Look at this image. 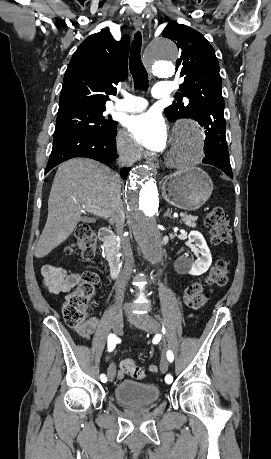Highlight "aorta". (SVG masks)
<instances>
[{"label":"aorta","instance_id":"762f6f07","mask_svg":"<svg viewBox=\"0 0 271 459\" xmlns=\"http://www.w3.org/2000/svg\"><path fill=\"white\" fill-rule=\"evenodd\" d=\"M177 53L172 41L160 38L149 46L147 63L155 75L169 77L174 72L172 60ZM202 158L203 139L198 129L191 123L181 124L175 130L172 148L168 152V166L183 171L200 163ZM126 186L127 217L131 231L144 257L153 264L159 263L163 258L161 232L157 224L159 197L149 167L136 166Z\"/></svg>","mask_w":271,"mask_h":459}]
</instances>
